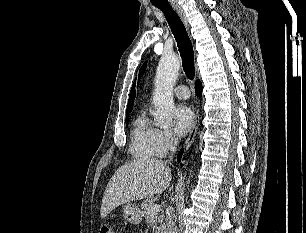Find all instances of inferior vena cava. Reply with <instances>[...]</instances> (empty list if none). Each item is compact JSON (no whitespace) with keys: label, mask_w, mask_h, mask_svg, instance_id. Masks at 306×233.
I'll list each match as a JSON object with an SVG mask.
<instances>
[{"label":"inferior vena cava","mask_w":306,"mask_h":233,"mask_svg":"<svg viewBox=\"0 0 306 233\" xmlns=\"http://www.w3.org/2000/svg\"><path fill=\"white\" fill-rule=\"evenodd\" d=\"M177 139H173V145L171 147L172 152L174 153L176 151V145H177ZM170 160L173 159V154L169 157ZM165 233H178L175 221L173 219L172 215H168L166 218V232Z\"/></svg>","instance_id":"obj_1"}]
</instances>
